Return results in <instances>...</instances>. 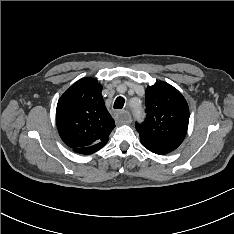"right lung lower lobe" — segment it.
Listing matches in <instances>:
<instances>
[{
	"mask_svg": "<svg viewBox=\"0 0 234 234\" xmlns=\"http://www.w3.org/2000/svg\"><path fill=\"white\" fill-rule=\"evenodd\" d=\"M103 146L94 145V146H90V147L79 148V149H76L74 151L77 152V153H81V154H86L87 155V154H92V153L96 152L97 150H99Z\"/></svg>",
	"mask_w": 234,
	"mask_h": 234,
	"instance_id": "98d812e1",
	"label": "right lung lower lobe"
}]
</instances>
